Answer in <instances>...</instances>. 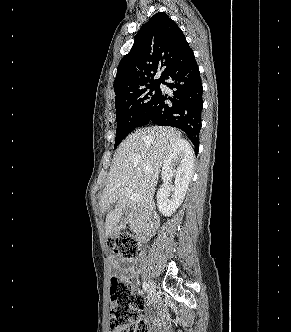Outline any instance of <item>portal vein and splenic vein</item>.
<instances>
[{
    "instance_id": "1",
    "label": "portal vein and splenic vein",
    "mask_w": 291,
    "mask_h": 332,
    "mask_svg": "<svg viewBox=\"0 0 291 332\" xmlns=\"http://www.w3.org/2000/svg\"><path fill=\"white\" fill-rule=\"evenodd\" d=\"M127 196L129 197V199L134 202V203H140L142 198L140 196V194L137 193H132L130 192L128 189L126 191Z\"/></svg>"
}]
</instances>
